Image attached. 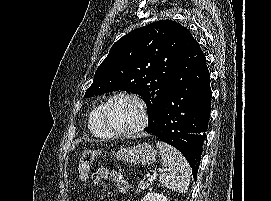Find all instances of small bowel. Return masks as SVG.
I'll use <instances>...</instances> for the list:
<instances>
[{
	"mask_svg": "<svg viewBox=\"0 0 271 201\" xmlns=\"http://www.w3.org/2000/svg\"><path fill=\"white\" fill-rule=\"evenodd\" d=\"M102 179H111L115 183L117 191L120 193H126L128 190V182L126 179L115 171L100 169L92 176L91 183L96 185Z\"/></svg>",
	"mask_w": 271,
	"mask_h": 201,
	"instance_id": "c3829d8e",
	"label": "small bowel"
}]
</instances>
